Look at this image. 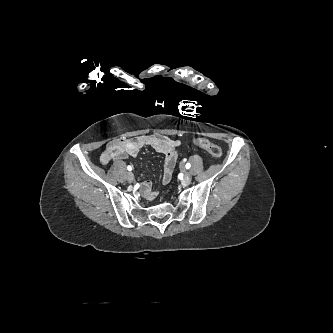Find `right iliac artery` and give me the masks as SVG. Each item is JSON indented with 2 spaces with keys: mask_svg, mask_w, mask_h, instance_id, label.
I'll return each instance as SVG.
<instances>
[{
  "mask_svg": "<svg viewBox=\"0 0 333 333\" xmlns=\"http://www.w3.org/2000/svg\"><path fill=\"white\" fill-rule=\"evenodd\" d=\"M127 169H128L129 171H131V170H132V167L129 165V166L127 167Z\"/></svg>",
  "mask_w": 333,
  "mask_h": 333,
  "instance_id": "1",
  "label": "right iliac artery"
}]
</instances>
